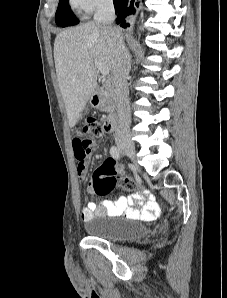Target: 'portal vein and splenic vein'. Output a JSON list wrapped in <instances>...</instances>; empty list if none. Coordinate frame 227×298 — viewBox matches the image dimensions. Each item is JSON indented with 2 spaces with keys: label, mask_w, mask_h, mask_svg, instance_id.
<instances>
[{
  "label": "portal vein and splenic vein",
  "mask_w": 227,
  "mask_h": 298,
  "mask_svg": "<svg viewBox=\"0 0 227 298\" xmlns=\"http://www.w3.org/2000/svg\"><path fill=\"white\" fill-rule=\"evenodd\" d=\"M95 67L100 71V73L103 76H107L109 74V69L104 64H102L100 61L95 60L94 61Z\"/></svg>",
  "instance_id": "obj_1"
}]
</instances>
